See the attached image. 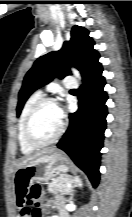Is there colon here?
<instances>
[{
	"mask_svg": "<svg viewBox=\"0 0 132 217\" xmlns=\"http://www.w3.org/2000/svg\"><path fill=\"white\" fill-rule=\"evenodd\" d=\"M41 196V189L39 185L32 186L26 194V202L31 210V217H42L41 209L39 207Z\"/></svg>",
	"mask_w": 132,
	"mask_h": 217,
	"instance_id": "1",
	"label": "colon"
}]
</instances>
